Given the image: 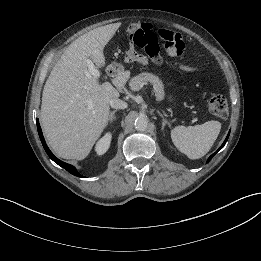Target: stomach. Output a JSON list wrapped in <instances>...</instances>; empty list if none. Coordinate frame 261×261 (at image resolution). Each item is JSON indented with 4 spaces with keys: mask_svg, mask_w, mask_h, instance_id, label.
<instances>
[{
    "mask_svg": "<svg viewBox=\"0 0 261 261\" xmlns=\"http://www.w3.org/2000/svg\"><path fill=\"white\" fill-rule=\"evenodd\" d=\"M118 65L117 64H112V67L113 68H116Z\"/></svg>",
    "mask_w": 261,
    "mask_h": 261,
    "instance_id": "obj_1",
    "label": "stomach"
}]
</instances>
